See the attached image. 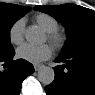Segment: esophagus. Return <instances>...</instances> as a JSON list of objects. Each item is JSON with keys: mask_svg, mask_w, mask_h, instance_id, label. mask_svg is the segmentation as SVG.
<instances>
[{"mask_svg": "<svg viewBox=\"0 0 95 95\" xmlns=\"http://www.w3.org/2000/svg\"><path fill=\"white\" fill-rule=\"evenodd\" d=\"M42 67H43V65H41V64L34 65L35 71H39Z\"/></svg>", "mask_w": 95, "mask_h": 95, "instance_id": "1", "label": "esophagus"}]
</instances>
